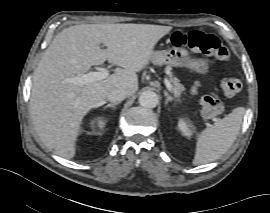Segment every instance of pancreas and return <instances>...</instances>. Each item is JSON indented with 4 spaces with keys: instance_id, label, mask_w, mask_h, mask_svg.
<instances>
[{
    "instance_id": "cf45deb5",
    "label": "pancreas",
    "mask_w": 270,
    "mask_h": 213,
    "mask_svg": "<svg viewBox=\"0 0 270 213\" xmlns=\"http://www.w3.org/2000/svg\"><path fill=\"white\" fill-rule=\"evenodd\" d=\"M170 82L175 97H180L181 94L185 91V87L179 82V80L176 77H173L172 74L170 76Z\"/></svg>"
}]
</instances>
